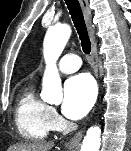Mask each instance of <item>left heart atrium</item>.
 <instances>
[{"label":"left heart atrium","instance_id":"39dd6f15","mask_svg":"<svg viewBox=\"0 0 131 151\" xmlns=\"http://www.w3.org/2000/svg\"><path fill=\"white\" fill-rule=\"evenodd\" d=\"M96 96V85L87 73L70 77L64 86L62 111L70 119L83 117L91 108Z\"/></svg>","mask_w":131,"mask_h":151}]
</instances>
